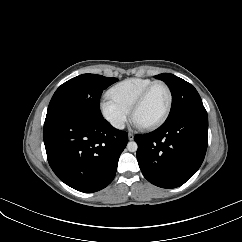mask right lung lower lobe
Instances as JSON below:
<instances>
[{"instance_id":"1","label":"right lung lower lobe","mask_w":242,"mask_h":242,"mask_svg":"<svg viewBox=\"0 0 242 242\" xmlns=\"http://www.w3.org/2000/svg\"><path fill=\"white\" fill-rule=\"evenodd\" d=\"M128 134L105 119L62 114L45 119L44 144L50 167L75 190L92 193L115 177Z\"/></svg>"}]
</instances>
